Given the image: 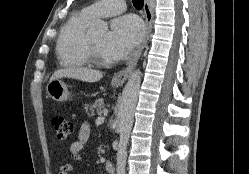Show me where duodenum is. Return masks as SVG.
I'll use <instances>...</instances> for the list:
<instances>
[{
    "label": "duodenum",
    "instance_id": "duodenum-1",
    "mask_svg": "<svg viewBox=\"0 0 249 174\" xmlns=\"http://www.w3.org/2000/svg\"><path fill=\"white\" fill-rule=\"evenodd\" d=\"M105 169H106L107 173L115 174V166L112 162H110L108 160L105 162Z\"/></svg>",
    "mask_w": 249,
    "mask_h": 174
}]
</instances>
